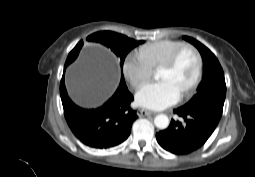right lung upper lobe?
Masks as SVG:
<instances>
[{
  "mask_svg": "<svg viewBox=\"0 0 255 177\" xmlns=\"http://www.w3.org/2000/svg\"><path fill=\"white\" fill-rule=\"evenodd\" d=\"M80 43V42H79ZM79 43L75 46V48L70 52V55H71V57H74L75 56V52H76V50L79 48ZM67 66H65V68H66Z\"/></svg>",
  "mask_w": 255,
  "mask_h": 177,
  "instance_id": "cb5924a9",
  "label": "right lung upper lobe"
}]
</instances>
